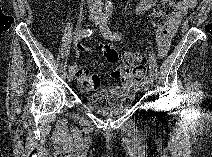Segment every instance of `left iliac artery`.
I'll list each match as a JSON object with an SVG mask.
<instances>
[{
    "instance_id": "obj_1",
    "label": "left iliac artery",
    "mask_w": 212,
    "mask_h": 157,
    "mask_svg": "<svg viewBox=\"0 0 212 157\" xmlns=\"http://www.w3.org/2000/svg\"><path fill=\"white\" fill-rule=\"evenodd\" d=\"M109 17H110V14H105L103 16V21H102V24L100 25L101 32L106 39H109L112 41L120 40L122 36L121 33H118V32L113 33L107 25ZM143 83L152 84V81L150 80L148 76H146L143 79Z\"/></svg>"
}]
</instances>
